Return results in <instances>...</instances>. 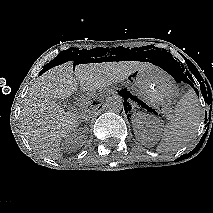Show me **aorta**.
<instances>
[{"instance_id": "762f6f07", "label": "aorta", "mask_w": 213, "mask_h": 213, "mask_svg": "<svg viewBox=\"0 0 213 213\" xmlns=\"http://www.w3.org/2000/svg\"><path fill=\"white\" fill-rule=\"evenodd\" d=\"M107 109L111 112L119 113L123 109V99L119 95H112L106 99Z\"/></svg>"}]
</instances>
